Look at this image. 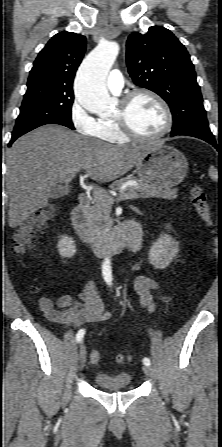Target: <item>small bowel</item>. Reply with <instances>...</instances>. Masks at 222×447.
Returning <instances> with one entry per match:
<instances>
[{"mask_svg":"<svg viewBox=\"0 0 222 447\" xmlns=\"http://www.w3.org/2000/svg\"><path fill=\"white\" fill-rule=\"evenodd\" d=\"M134 289L140 304L151 310L154 307L153 292L160 293L162 287L154 279L141 275L135 279ZM38 307L49 321L65 326L78 327L84 323H103L112 318V314L104 310L94 282L86 284L77 298L66 294L54 302L48 297H41L38 300Z\"/></svg>","mask_w":222,"mask_h":447,"instance_id":"c3829d8e","label":"small bowel"}]
</instances>
